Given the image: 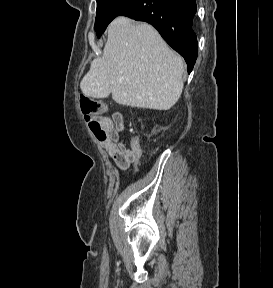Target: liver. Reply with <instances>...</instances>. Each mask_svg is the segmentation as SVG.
<instances>
[{
	"label": "liver",
	"mask_w": 273,
	"mask_h": 288,
	"mask_svg": "<svg viewBox=\"0 0 273 288\" xmlns=\"http://www.w3.org/2000/svg\"><path fill=\"white\" fill-rule=\"evenodd\" d=\"M183 60L147 23L117 17L108 27L101 57L94 59L80 88L87 97L131 107L169 110L183 89Z\"/></svg>",
	"instance_id": "obj_1"
}]
</instances>
